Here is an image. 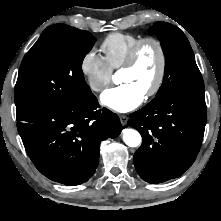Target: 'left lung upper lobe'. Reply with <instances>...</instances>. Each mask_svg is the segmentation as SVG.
Returning a JSON list of instances; mask_svg holds the SVG:
<instances>
[{
	"label": "left lung upper lobe",
	"instance_id": "obj_1",
	"mask_svg": "<svg viewBox=\"0 0 221 221\" xmlns=\"http://www.w3.org/2000/svg\"><path fill=\"white\" fill-rule=\"evenodd\" d=\"M153 34L160 39L165 55L164 79L156 97L169 92L204 97L203 79L182 30L170 23L156 22L149 29V35Z\"/></svg>",
	"mask_w": 221,
	"mask_h": 221
}]
</instances>
